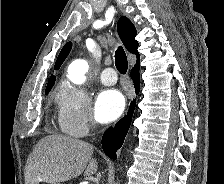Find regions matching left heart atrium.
Segmentation results:
<instances>
[{
	"label": "left heart atrium",
	"instance_id": "obj_1",
	"mask_svg": "<svg viewBox=\"0 0 224 184\" xmlns=\"http://www.w3.org/2000/svg\"><path fill=\"white\" fill-rule=\"evenodd\" d=\"M125 108V99L117 90L101 92L95 104V115L98 121L109 123L117 119Z\"/></svg>",
	"mask_w": 224,
	"mask_h": 184
}]
</instances>
